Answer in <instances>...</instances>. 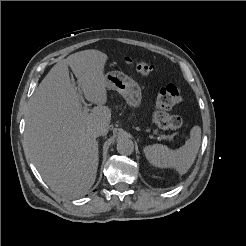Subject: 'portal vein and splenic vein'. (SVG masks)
Here are the masks:
<instances>
[{"label": "portal vein and splenic vein", "instance_id": "18ae733b", "mask_svg": "<svg viewBox=\"0 0 246 246\" xmlns=\"http://www.w3.org/2000/svg\"><path fill=\"white\" fill-rule=\"evenodd\" d=\"M81 102L84 105L83 106V112L84 113H88L89 112V108H88L87 104L85 103V101H84V99L82 97H81ZM158 139H168V137L165 136V135H161V136L158 137Z\"/></svg>", "mask_w": 246, "mask_h": 246}]
</instances>
